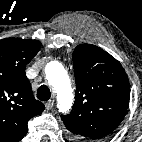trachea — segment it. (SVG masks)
<instances>
[{
    "mask_svg": "<svg viewBox=\"0 0 142 142\" xmlns=\"http://www.w3.org/2000/svg\"><path fill=\"white\" fill-rule=\"evenodd\" d=\"M51 97L50 89L46 85L39 87L37 91V98L41 101H47Z\"/></svg>",
    "mask_w": 142,
    "mask_h": 142,
    "instance_id": "trachea-1",
    "label": "trachea"
}]
</instances>
